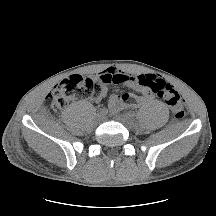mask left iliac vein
Masks as SVG:
<instances>
[{
    "instance_id": "1",
    "label": "left iliac vein",
    "mask_w": 216,
    "mask_h": 216,
    "mask_svg": "<svg viewBox=\"0 0 216 216\" xmlns=\"http://www.w3.org/2000/svg\"><path fill=\"white\" fill-rule=\"evenodd\" d=\"M116 119L124 124L127 128L131 129L134 126V119L133 117L129 116L128 114H121L116 117Z\"/></svg>"
}]
</instances>
